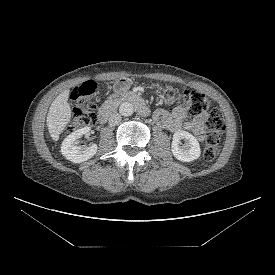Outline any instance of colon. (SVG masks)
Wrapping results in <instances>:
<instances>
[{"mask_svg":"<svg viewBox=\"0 0 275 275\" xmlns=\"http://www.w3.org/2000/svg\"><path fill=\"white\" fill-rule=\"evenodd\" d=\"M96 83L86 81L71 92V100L74 104L73 116L69 125L70 130L92 125L96 120ZM165 102L169 105L178 103L192 115L208 112L206 121L207 135L206 144L203 150L205 160L214 159L221 147L225 131V121L221 111L212 108L210 100L201 92L186 90L178 92L173 88L165 90Z\"/></svg>","mask_w":275,"mask_h":275,"instance_id":"5ec220e1","label":"colon"}]
</instances>
